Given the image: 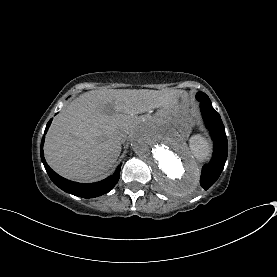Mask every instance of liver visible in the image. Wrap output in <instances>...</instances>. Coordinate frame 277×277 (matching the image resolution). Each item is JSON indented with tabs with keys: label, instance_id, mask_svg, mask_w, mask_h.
Masks as SVG:
<instances>
[{
	"label": "liver",
	"instance_id": "6515ba94",
	"mask_svg": "<svg viewBox=\"0 0 277 277\" xmlns=\"http://www.w3.org/2000/svg\"><path fill=\"white\" fill-rule=\"evenodd\" d=\"M182 93L128 89L85 92L55 117L45 138L46 161L67 179L91 181L117 161L134 115L161 106L171 108Z\"/></svg>",
	"mask_w": 277,
	"mask_h": 277
}]
</instances>
